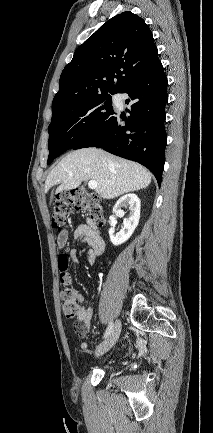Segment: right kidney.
I'll list each match as a JSON object with an SVG mask.
<instances>
[{
	"label": "right kidney",
	"instance_id": "obj_1",
	"mask_svg": "<svg viewBox=\"0 0 213 433\" xmlns=\"http://www.w3.org/2000/svg\"><path fill=\"white\" fill-rule=\"evenodd\" d=\"M129 206L130 215L123 220V228L114 235V227L109 229L110 241L113 245L118 246L126 242L138 226L140 219V199L135 194H126L119 198L113 207V213L117 217H123V207Z\"/></svg>",
	"mask_w": 213,
	"mask_h": 433
}]
</instances>
